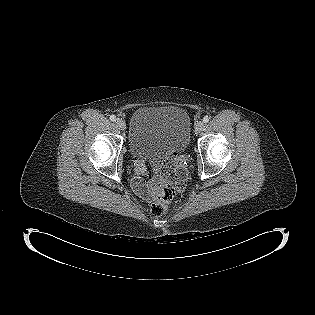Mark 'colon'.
Returning a JSON list of instances; mask_svg holds the SVG:
<instances>
[{
	"instance_id": "obj_1",
	"label": "colon",
	"mask_w": 315,
	"mask_h": 315,
	"mask_svg": "<svg viewBox=\"0 0 315 315\" xmlns=\"http://www.w3.org/2000/svg\"><path fill=\"white\" fill-rule=\"evenodd\" d=\"M184 186V180L182 177L176 179L167 178L157 190L153 203L151 205V211L155 216L163 215L168 207L169 202L173 199L176 192L181 190Z\"/></svg>"
}]
</instances>
